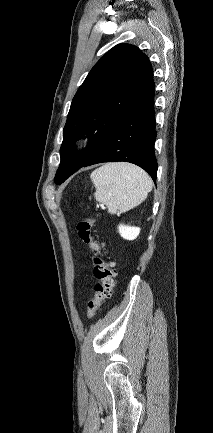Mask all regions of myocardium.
<instances>
[{
	"mask_svg": "<svg viewBox=\"0 0 213 433\" xmlns=\"http://www.w3.org/2000/svg\"><path fill=\"white\" fill-rule=\"evenodd\" d=\"M87 143V139L84 137H80L75 140L73 147L77 150L82 149Z\"/></svg>",
	"mask_w": 213,
	"mask_h": 433,
	"instance_id": "myocardium-1",
	"label": "myocardium"
}]
</instances>
